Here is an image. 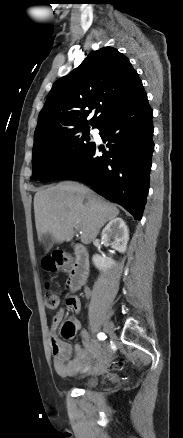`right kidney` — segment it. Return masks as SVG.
I'll list each match as a JSON object with an SVG mask.
<instances>
[{
    "label": "right kidney",
    "instance_id": "right-kidney-1",
    "mask_svg": "<svg viewBox=\"0 0 183 438\" xmlns=\"http://www.w3.org/2000/svg\"><path fill=\"white\" fill-rule=\"evenodd\" d=\"M101 239L104 244L124 253L129 240V230L124 220L122 218L111 220L103 229ZM92 260L95 267L102 271L108 270L115 264L113 259L99 254H95Z\"/></svg>",
    "mask_w": 183,
    "mask_h": 438
}]
</instances>
